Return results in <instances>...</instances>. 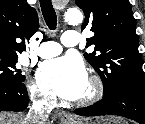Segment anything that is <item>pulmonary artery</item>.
Here are the masks:
<instances>
[{"mask_svg": "<svg viewBox=\"0 0 145 124\" xmlns=\"http://www.w3.org/2000/svg\"><path fill=\"white\" fill-rule=\"evenodd\" d=\"M79 35L75 30L65 31L61 38V44L54 41H45L41 43L39 56L42 58H50L59 55L63 47H74L78 44Z\"/></svg>", "mask_w": 145, "mask_h": 124, "instance_id": "obj_1", "label": "pulmonary artery"}]
</instances>
